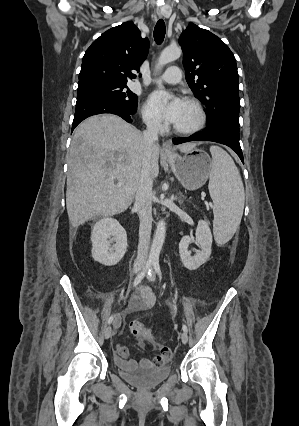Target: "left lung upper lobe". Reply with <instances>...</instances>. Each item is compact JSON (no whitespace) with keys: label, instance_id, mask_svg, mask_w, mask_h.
<instances>
[{"label":"left lung upper lobe","instance_id":"1","mask_svg":"<svg viewBox=\"0 0 299 426\" xmlns=\"http://www.w3.org/2000/svg\"><path fill=\"white\" fill-rule=\"evenodd\" d=\"M179 44L187 83L207 107V126L228 125L239 129L238 71L229 47L193 23L182 32Z\"/></svg>","mask_w":299,"mask_h":426}]
</instances>
